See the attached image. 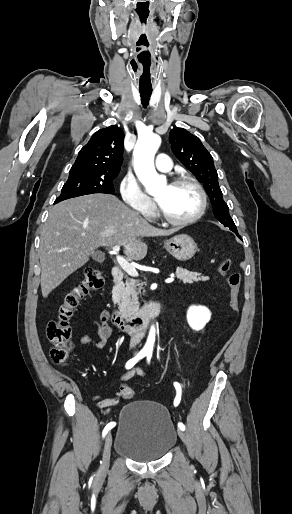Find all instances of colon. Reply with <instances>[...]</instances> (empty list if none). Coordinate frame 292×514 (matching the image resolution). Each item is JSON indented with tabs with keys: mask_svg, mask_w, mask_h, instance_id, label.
I'll return each instance as SVG.
<instances>
[{
	"mask_svg": "<svg viewBox=\"0 0 292 514\" xmlns=\"http://www.w3.org/2000/svg\"><path fill=\"white\" fill-rule=\"evenodd\" d=\"M84 270V279L63 293L57 315L46 326L47 339L51 344L50 357L55 364H62L69 357L72 346L70 320L76 308L90 293L99 291L105 282L103 273L95 269L94 265H86ZM219 271L228 281L230 305L233 312L237 313L241 275L231 268L227 259L220 262ZM122 392L125 400L133 399L134 393L129 385H124Z\"/></svg>",
	"mask_w": 292,
	"mask_h": 514,
	"instance_id": "colon-1",
	"label": "colon"
}]
</instances>
